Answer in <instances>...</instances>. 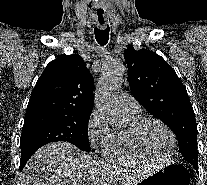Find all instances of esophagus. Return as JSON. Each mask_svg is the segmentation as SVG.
<instances>
[{
    "mask_svg": "<svg viewBox=\"0 0 207 185\" xmlns=\"http://www.w3.org/2000/svg\"><path fill=\"white\" fill-rule=\"evenodd\" d=\"M95 14H106V9H95ZM95 20H100V22H97L100 27L104 28L106 26V22H103V20H106V15H95Z\"/></svg>",
    "mask_w": 207,
    "mask_h": 185,
    "instance_id": "34e87169",
    "label": "esophagus"
}]
</instances>
